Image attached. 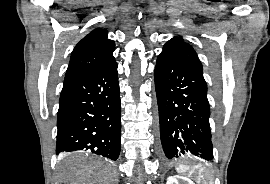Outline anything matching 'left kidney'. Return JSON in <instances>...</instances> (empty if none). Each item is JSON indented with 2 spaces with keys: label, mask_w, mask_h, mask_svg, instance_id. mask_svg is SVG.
Returning a JSON list of instances; mask_svg holds the SVG:
<instances>
[{
  "label": "left kidney",
  "mask_w": 270,
  "mask_h": 184,
  "mask_svg": "<svg viewBox=\"0 0 270 184\" xmlns=\"http://www.w3.org/2000/svg\"><path fill=\"white\" fill-rule=\"evenodd\" d=\"M166 184H195V183L186 177L169 176L167 178Z\"/></svg>",
  "instance_id": "5707ae66"
}]
</instances>
